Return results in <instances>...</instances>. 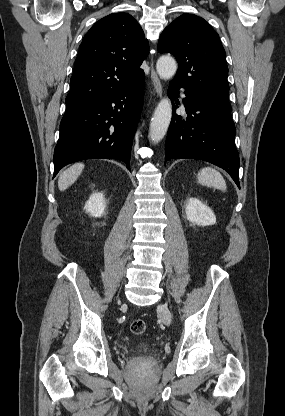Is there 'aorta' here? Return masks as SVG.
Instances as JSON below:
<instances>
[{
  "label": "aorta",
  "instance_id": "obj_1",
  "mask_svg": "<svg viewBox=\"0 0 285 416\" xmlns=\"http://www.w3.org/2000/svg\"><path fill=\"white\" fill-rule=\"evenodd\" d=\"M156 69L160 78L169 80L175 75L177 71V64L172 57L162 56L157 61ZM171 117L172 106L170 100L168 98H163L155 109L150 124L149 137L154 144L159 143L164 138L167 133Z\"/></svg>",
  "mask_w": 285,
  "mask_h": 416
}]
</instances>
